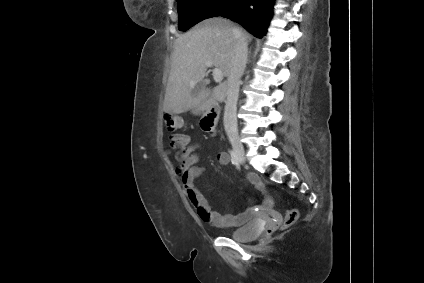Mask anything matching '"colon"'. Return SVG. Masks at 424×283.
I'll list each match as a JSON object with an SVG mask.
<instances>
[{
	"mask_svg": "<svg viewBox=\"0 0 424 283\" xmlns=\"http://www.w3.org/2000/svg\"><path fill=\"white\" fill-rule=\"evenodd\" d=\"M164 124L167 130L176 131L182 127V119L180 116L175 114H165L164 115ZM298 218V212L296 209H289L286 211L285 218L283 221V227L287 228L293 225ZM272 231H268V234H271Z\"/></svg>",
	"mask_w": 424,
	"mask_h": 283,
	"instance_id": "5ec220e1",
	"label": "colon"
}]
</instances>
